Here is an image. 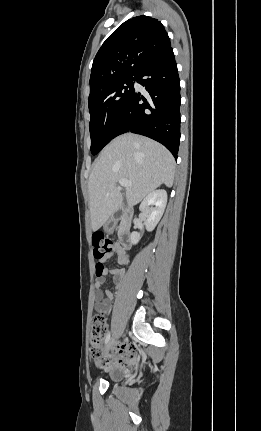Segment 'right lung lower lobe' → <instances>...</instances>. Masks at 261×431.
Here are the masks:
<instances>
[{"label":"right lung lower lobe","instance_id":"1","mask_svg":"<svg viewBox=\"0 0 261 431\" xmlns=\"http://www.w3.org/2000/svg\"><path fill=\"white\" fill-rule=\"evenodd\" d=\"M147 95L133 93L113 138L131 131L163 144L177 159L180 143V80L171 46L146 64L135 79Z\"/></svg>","mask_w":261,"mask_h":431}]
</instances>
